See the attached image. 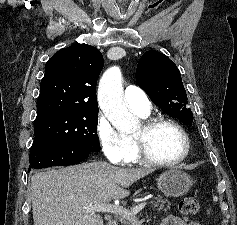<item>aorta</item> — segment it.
<instances>
[{"mask_svg": "<svg viewBox=\"0 0 237 225\" xmlns=\"http://www.w3.org/2000/svg\"><path fill=\"white\" fill-rule=\"evenodd\" d=\"M122 74L117 66L105 71L98 86V103L108 120L121 133L137 128L138 118L130 113L123 100Z\"/></svg>", "mask_w": 237, "mask_h": 225, "instance_id": "obj_1", "label": "aorta"}]
</instances>
